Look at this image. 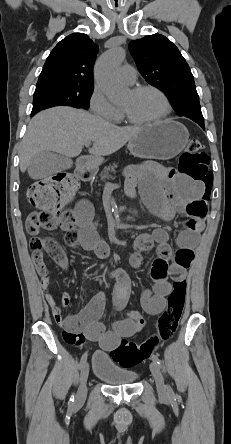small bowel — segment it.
I'll list each match as a JSON object with an SVG mask.
<instances>
[{"label":"small bowel","mask_w":231,"mask_h":444,"mask_svg":"<svg viewBox=\"0 0 231 444\" xmlns=\"http://www.w3.org/2000/svg\"><path fill=\"white\" fill-rule=\"evenodd\" d=\"M125 189L131 197L136 195L138 189L147 207L161 219L172 220L181 214L197 222L195 229L181 232L177 239L179 248L175 254L167 243V234L163 229H156L152 234H140L135 240L130 262L136 268L142 264V253L152 249L155 243L158 244L157 258L151 268L153 285L143 291L141 305L147 314L159 315L165 309L172 290L170 280L185 279L186 271L194 259V247L203 229V215L195 216L190 208L194 203L202 201L204 185L179 175L173 168L145 163L127 171ZM58 225L66 232L69 246L81 247L101 259L109 256V247L97 236L93 207L88 200H80L70 212V217H61ZM33 261L37 272L43 277L47 273L43 256L34 255ZM116 278L113 300L122 308L128 300L131 283L122 272H117ZM48 286L49 283H42L46 301L54 320L63 330L64 339L70 344L79 346L89 340L96 342L103 350L111 351L146 326V319L140 312L129 310L124 318L113 323L111 330H107L100 321L106 303L104 292L94 295L78 314L65 317L62 309L70 304L68 293H62L61 302L58 303Z\"/></svg>","instance_id":"c3829d8e"}]
</instances>
